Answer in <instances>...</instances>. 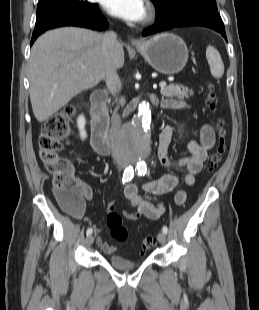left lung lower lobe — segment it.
<instances>
[{
	"instance_id": "obj_1",
	"label": "left lung lower lobe",
	"mask_w": 259,
	"mask_h": 310,
	"mask_svg": "<svg viewBox=\"0 0 259 310\" xmlns=\"http://www.w3.org/2000/svg\"><path fill=\"white\" fill-rule=\"evenodd\" d=\"M184 26H203L211 28L220 33L227 41L224 23L220 14L218 12H209L203 10L189 12L162 23H155L153 26L145 29L142 32V35L148 36L164 30Z\"/></svg>"
}]
</instances>
